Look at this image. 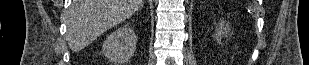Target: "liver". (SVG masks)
Here are the masks:
<instances>
[{
  "label": "liver",
  "mask_w": 309,
  "mask_h": 65,
  "mask_svg": "<svg viewBox=\"0 0 309 65\" xmlns=\"http://www.w3.org/2000/svg\"><path fill=\"white\" fill-rule=\"evenodd\" d=\"M143 4L144 0H73L67 14L69 48L73 52L84 49Z\"/></svg>",
  "instance_id": "liver-1"
}]
</instances>
